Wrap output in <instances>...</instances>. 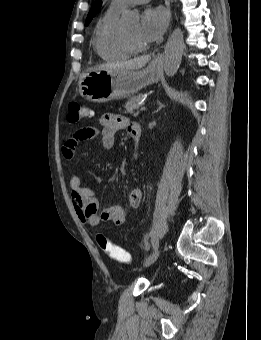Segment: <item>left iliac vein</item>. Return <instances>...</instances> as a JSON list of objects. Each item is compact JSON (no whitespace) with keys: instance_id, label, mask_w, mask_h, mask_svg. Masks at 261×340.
Masks as SVG:
<instances>
[{"instance_id":"left-iliac-vein-1","label":"left iliac vein","mask_w":261,"mask_h":340,"mask_svg":"<svg viewBox=\"0 0 261 340\" xmlns=\"http://www.w3.org/2000/svg\"><path fill=\"white\" fill-rule=\"evenodd\" d=\"M161 253L160 249H157L156 251H154L144 262L143 266L144 267H149L150 265H152L159 257Z\"/></svg>"}]
</instances>
